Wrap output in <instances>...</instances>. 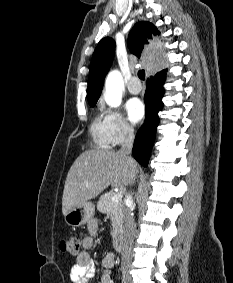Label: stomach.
Masks as SVG:
<instances>
[{
  "mask_svg": "<svg viewBox=\"0 0 233 283\" xmlns=\"http://www.w3.org/2000/svg\"><path fill=\"white\" fill-rule=\"evenodd\" d=\"M95 213V206L91 202H86L72 210H70L65 216V222L69 226L78 227L86 224Z\"/></svg>",
  "mask_w": 233,
  "mask_h": 283,
  "instance_id": "stomach-1",
  "label": "stomach"
}]
</instances>
